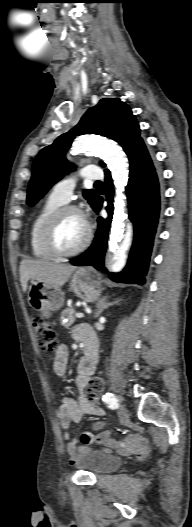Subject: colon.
Listing matches in <instances>:
<instances>
[{
  "instance_id": "1",
  "label": "colon",
  "mask_w": 192,
  "mask_h": 527,
  "mask_svg": "<svg viewBox=\"0 0 192 527\" xmlns=\"http://www.w3.org/2000/svg\"><path fill=\"white\" fill-rule=\"evenodd\" d=\"M33 329L37 342L42 350L52 351L57 347V334L52 325H50L40 317H35L33 320ZM102 387V379L95 378L92 383V386L88 390L89 400H91L95 404H98ZM110 434L112 433L110 432Z\"/></svg>"
}]
</instances>
